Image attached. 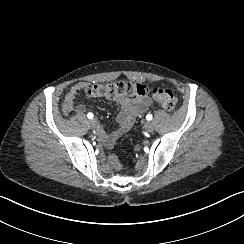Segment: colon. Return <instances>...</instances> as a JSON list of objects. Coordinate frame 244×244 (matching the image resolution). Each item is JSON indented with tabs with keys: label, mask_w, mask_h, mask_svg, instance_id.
Here are the masks:
<instances>
[{
	"label": "colon",
	"mask_w": 244,
	"mask_h": 244,
	"mask_svg": "<svg viewBox=\"0 0 244 244\" xmlns=\"http://www.w3.org/2000/svg\"><path fill=\"white\" fill-rule=\"evenodd\" d=\"M148 88L146 85L133 83L127 80L116 81L111 84L92 83L85 89V94L91 98L114 99L117 96L128 95L132 97L143 96V89ZM154 101L167 111H173L176 106V97L174 93L165 88L154 87L150 89ZM108 162L115 170L123 167V162L116 154L108 157Z\"/></svg>",
	"instance_id": "obj_1"
}]
</instances>
